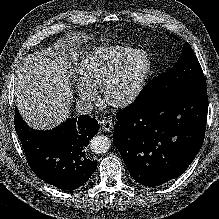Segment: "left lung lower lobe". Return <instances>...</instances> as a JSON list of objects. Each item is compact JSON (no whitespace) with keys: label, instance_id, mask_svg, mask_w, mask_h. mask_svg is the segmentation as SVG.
Listing matches in <instances>:
<instances>
[{"label":"left lung lower lobe","instance_id":"obj_1","mask_svg":"<svg viewBox=\"0 0 219 219\" xmlns=\"http://www.w3.org/2000/svg\"><path fill=\"white\" fill-rule=\"evenodd\" d=\"M207 106V89L196 88L117 113L113 143L138 183L155 187L185 172L203 144Z\"/></svg>","mask_w":219,"mask_h":219}]
</instances>
